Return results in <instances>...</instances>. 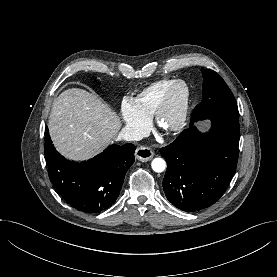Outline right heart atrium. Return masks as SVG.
<instances>
[{"mask_svg":"<svg viewBox=\"0 0 277 277\" xmlns=\"http://www.w3.org/2000/svg\"><path fill=\"white\" fill-rule=\"evenodd\" d=\"M125 128L130 135H139L147 126V120L141 117L133 108L132 102L125 99L121 107Z\"/></svg>","mask_w":277,"mask_h":277,"instance_id":"d8ad5b80","label":"right heart atrium"}]
</instances>
